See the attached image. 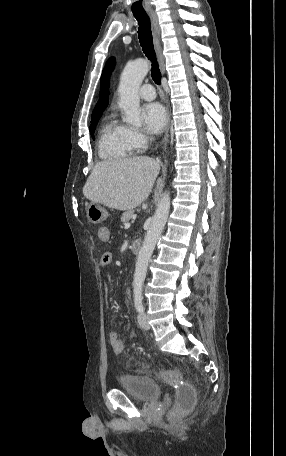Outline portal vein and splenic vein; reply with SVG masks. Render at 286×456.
<instances>
[{"label": "portal vein and splenic vein", "mask_w": 286, "mask_h": 456, "mask_svg": "<svg viewBox=\"0 0 286 456\" xmlns=\"http://www.w3.org/2000/svg\"><path fill=\"white\" fill-rule=\"evenodd\" d=\"M136 217H137L136 215H133V216H132L133 221L136 219Z\"/></svg>", "instance_id": "1"}]
</instances>
